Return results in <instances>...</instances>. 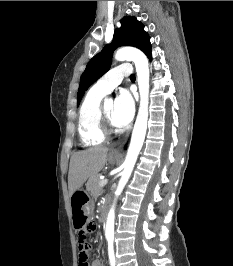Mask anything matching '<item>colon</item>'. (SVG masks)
Returning a JSON list of instances; mask_svg holds the SVG:
<instances>
[{
  "label": "colon",
  "instance_id": "1",
  "mask_svg": "<svg viewBox=\"0 0 233 266\" xmlns=\"http://www.w3.org/2000/svg\"><path fill=\"white\" fill-rule=\"evenodd\" d=\"M86 232L78 233V247H79V266H88V260L92 251L91 246L86 241L88 233L93 232L96 229V225L90 222V225H85Z\"/></svg>",
  "mask_w": 233,
  "mask_h": 266
}]
</instances>
